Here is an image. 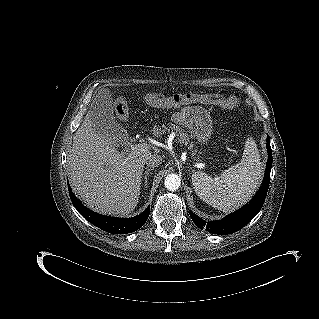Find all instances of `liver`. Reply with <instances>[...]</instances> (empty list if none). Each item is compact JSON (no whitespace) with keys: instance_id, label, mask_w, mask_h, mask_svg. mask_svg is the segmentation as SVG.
Masks as SVG:
<instances>
[{"instance_id":"1","label":"liver","mask_w":319,"mask_h":319,"mask_svg":"<svg viewBox=\"0 0 319 319\" xmlns=\"http://www.w3.org/2000/svg\"><path fill=\"white\" fill-rule=\"evenodd\" d=\"M91 114L89 110L73 137L68 160L72 190L98 213L128 215L138 204L144 165L151 152H119L115 139L95 130Z\"/></svg>"}]
</instances>
